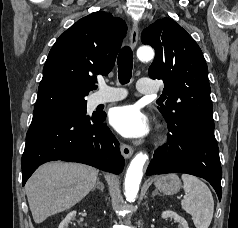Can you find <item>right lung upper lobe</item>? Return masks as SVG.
<instances>
[{
	"label": "right lung upper lobe",
	"mask_w": 238,
	"mask_h": 228,
	"mask_svg": "<svg viewBox=\"0 0 238 228\" xmlns=\"http://www.w3.org/2000/svg\"><path fill=\"white\" fill-rule=\"evenodd\" d=\"M126 30L121 18L98 11L62 33L45 62L34 115L85 102L96 75L106 76L114 66Z\"/></svg>",
	"instance_id": "1"
}]
</instances>
